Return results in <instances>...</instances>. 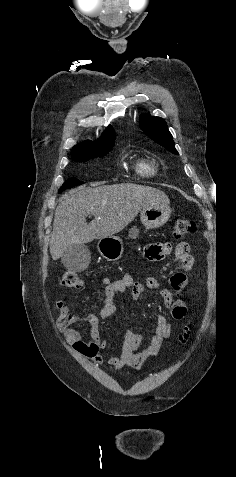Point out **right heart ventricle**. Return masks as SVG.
<instances>
[{
  "label": "right heart ventricle",
  "mask_w": 236,
  "mask_h": 477,
  "mask_svg": "<svg viewBox=\"0 0 236 477\" xmlns=\"http://www.w3.org/2000/svg\"><path fill=\"white\" fill-rule=\"evenodd\" d=\"M139 171L143 174H151L154 171V165L148 161L141 162Z\"/></svg>",
  "instance_id": "1"
}]
</instances>
